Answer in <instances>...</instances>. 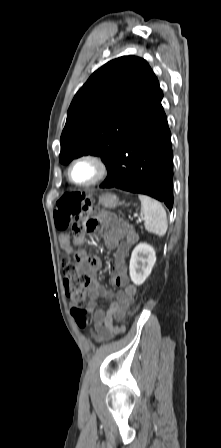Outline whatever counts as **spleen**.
Segmentation results:
<instances>
[{
    "instance_id": "3e777b00",
    "label": "spleen",
    "mask_w": 221,
    "mask_h": 448,
    "mask_svg": "<svg viewBox=\"0 0 221 448\" xmlns=\"http://www.w3.org/2000/svg\"><path fill=\"white\" fill-rule=\"evenodd\" d=\"M141 201V213L144 215L145 229L159 237H163L168 228L164 207L157 200L146 195H138Z\"/></svg>"
}]
</instances>
